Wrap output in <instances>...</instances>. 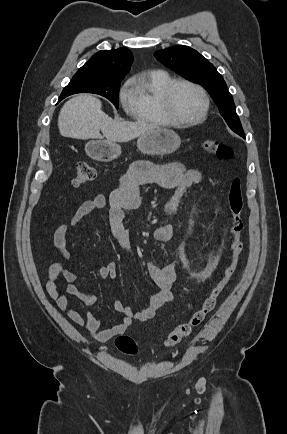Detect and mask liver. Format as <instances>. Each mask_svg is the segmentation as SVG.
Instances as JSON below:
<instances>
[{
    "instance_id": "obj_1",
    "label": "liver",
    "mask_w": 287,
    "mask_h": 434,
    "mask_svg": "<svg viewBox=\"0 0 287 434\" xmlns=\"http://www.w3.org/2000/svg\"><path fill=\"white\" fill-rule=\"evenodd\" d=\"M101 108V101L93 95L74 96L60 110L58 116L60 134L82 140L106 137L110 142H127L157 128L144 121L136 123L115 121Z\"/></svg>"
}]
</instances>
